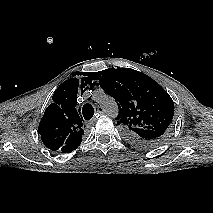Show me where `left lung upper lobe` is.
<instances>
[{"instance_id":"1","label":"left lung upper lobe","mask_w":213,"mask_h":213,"mask_svg":"<svg viewBox=\"0 0 213 213\" xmlns=\"http://www.w3.org/2000/svg\"><path fill=\"white\" fill-rule=\"evenodd\" d=\"M100 86L118 105L117 124L126 139L141 148L161 144L171 132L174 103L151 77L130 68H109L98 73Z\"/></svg>"}]
</instances>
